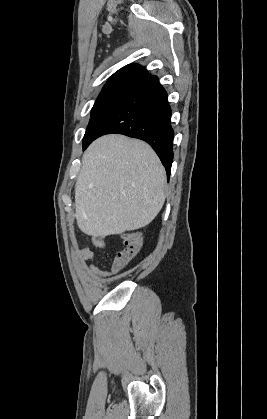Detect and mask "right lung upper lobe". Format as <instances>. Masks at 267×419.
<instances>
[{
  "mask_svg": "<svg viewBox=\"0 0 267 419\" xmlns=\"http://www.w3.org/2000/svg\"><path fill=\"white\" fill-rule=\"evenodd\" d=\"M152 76L140 65H127L114 73L101 93L132 92L138 86L149 80ZM100 93V94H101Z\"/></svg>",
  "mask_w": 267,
  "mask_h": 419,
  "instance_id": "cb5924a9",
  "label": "right lung upper lobe"
}]
</instances>
